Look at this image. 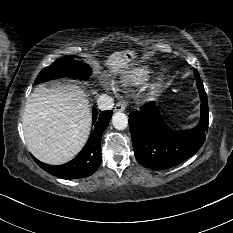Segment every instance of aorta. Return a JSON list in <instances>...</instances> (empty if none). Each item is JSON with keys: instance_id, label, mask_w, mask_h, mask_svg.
Returning a JSON list of instances; mask_svg holds the SVG:
<instances>
[{"instance_id": "1", "label": "aorta", "mask_w": 233, "mask_h": 233, "mask_svg": "<svg viewBox=\"0 0 233 233\" xmlns=\"http://www.w3.org/2000/svg\"><path fill=\"white\" fill-rule=\"evenodd\" d=\"M112 124L117 130H123L128 126V117L122 112H116L112 117Z\"/></svg>"}]
</instances>
